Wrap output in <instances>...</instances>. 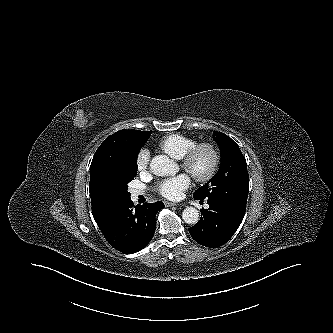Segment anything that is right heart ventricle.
Wrapping results in <instances>:
<instances>
[{"label": "right heart ventricle", "mask_w": 333, "mask_h": 333, "mask_svg": "<svg viewBox=\"0 0 333 333\" xmlns=\"http://www.w3.org/2000/svg\"><path fill=\"white\" fill-rule=\"evenodd\" d=\"M196 144V140L192 138L180 134H170L158 143V147L171 158L181 160Z\"/></svg>", "instance_id": "obj_1"}]
</instances>
